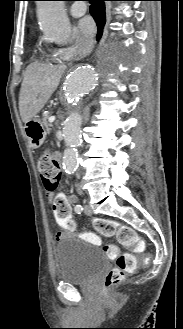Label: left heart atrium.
<instances>
[{"label": "left heart atrium", "mask_w": 183, "mask_h": 329, "mask_svg": "<svg viewBox=\"0 0 183 329\" xmlns=\"http://www.w3.org/2000/svg\"><path fill=\"white\" fill-rule=\"evenodd\" d=\"M81 32L86 36V37H91L96 29L95 23L90 17H85L80 21L79 24Z\"/></svg>", "instance_id": "left-heart-atrium-1"}]
</instances>
